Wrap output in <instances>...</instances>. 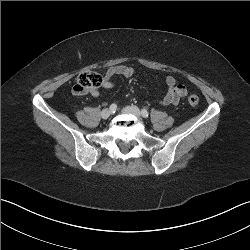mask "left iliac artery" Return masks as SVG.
Segmentation results:
<instances>
[{"label":"left iliac artery","mask_w":250,"mask_h":250,"mask_svg":"<svg viewBox=\"0 0 250 250\" xmlns=\"http://www.w3.org/2000/svg\"><path fill=\"white\" fill-rule=\"evenodd\" d=\"M141 114H142V116H143L144 118H147V117L149 116V113H148V111H147L146 109H142V110H141Z\"/></svg>","instance_id":"left-iliac-artery-1"}]
</instances>
